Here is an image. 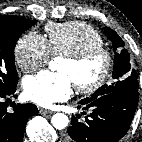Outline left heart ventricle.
Segmentation results:
<instances>
[{
	"label": "left heart ventricle",
	"mask_w": 142,
	"mask_h": 142,
	"mask_svg": "<svg viewBox=\"0 0 142 142\" xmlns=\"http://www.w3.org/2000/svg\"><path fill=\"white\" fill-rule=\"evenodd\" d=\"M103 61L100 57L91 59L90 61L76 66L66 59L62 61L59 66V71L69 75L72 82L75 83H89L96 79L102 71Z\"/></svg>",
	"instance_id": "b2bd125f"
}]
</instances>
